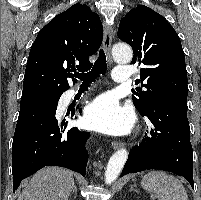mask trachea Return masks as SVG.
Here are the masks:
<instances>
[{"instance_id": "trachea-1", "label": "trachea", "mask_w": 201, "mask_h": 200, "mask_svg": "<svg viewBox=\"0 0 201 200\" xmlns=\"http://www.w3.org/2000/svg\"><path fill=\"white\" fill-rule=\"evenodd\" d=\"M107 71L106 56L104 51L101 49L99 51L98 59L94 67L88 73H76L75 77L82 80L81 86H89L90 83L95 81V79L100 75H105Z\"/></svg>"}]
</instances>
